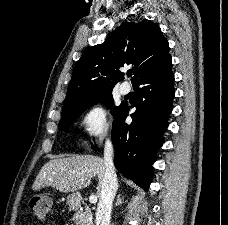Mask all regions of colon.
I'll return each instance as SVG.
<instances>
[{"label":"colon","instance_id":"5ec220e1","mask_svg":"<svg viewBox=\"0 0 228 225\" xmlns=\"http://www.w3.org/2000/svg\"><path fill=\"white\" fill-rule=\"evenodd\" d=\"M29 210L31 214L41 222H47L48 225H52L51 222L47 220L50 213V208H52V203L50 199L42 195H34L28 200Z\"/></svg>","mask_w":228,"mask_h":225}]
</instances>
